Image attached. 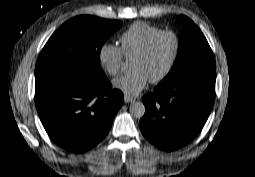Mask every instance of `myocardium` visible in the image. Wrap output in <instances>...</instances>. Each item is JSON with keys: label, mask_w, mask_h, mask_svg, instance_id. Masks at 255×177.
Instances as JSON below:
<instances>
[{"label": "myocardium", "mask_w": 255, "mask_h": 177, "mask_svg": "<svg viewBox=\"0 0 255 177\" xmlns=\"http://www.w3.org/2000/svg\"><path fill=\"white\" fill-rule=\"evenodd\" d=\"M170 35L174 39V50L165 67V69L155 78L149 79L151 83H159L163 81L171 72L181 50V42L179 36L172 30H162L154 34L148 39L144 47L134 58H144L148 55L155 42L162 36Z\"/></svg>", "instance_id": "f54148a6"}]
</instances>
